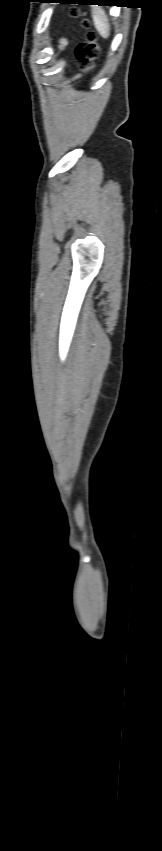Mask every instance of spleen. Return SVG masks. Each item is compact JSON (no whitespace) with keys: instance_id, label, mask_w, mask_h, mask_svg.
I'll use <instances>...</instances> for the list:
<instances>
[{"instance_id":"obj_1","label":"spleen","mask_w":162,"mask_h":851,"mask_svg":"<svg viewBox=\"0 0 162 851\" xmlns=\"http://www.w3.org/2000/svg\"><path fill=\"white\" fill-rule=\"evenodd\" d=\"M94 26L103 38L110 35V24L105 11L97 6L92 8Z\"/></svg>"}]
</instances>
